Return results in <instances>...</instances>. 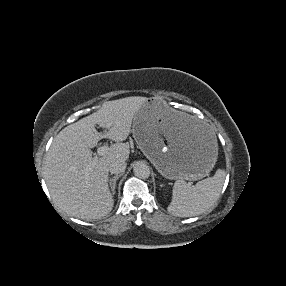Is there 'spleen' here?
<instances>
[{"label":"spleen","mask_w":286,"mask_h":286,"mask_svg":"<svg viewBox=\"0 0 286 286\" xmlns=\"http://www.w3.org/2000/svg\"><path fill=\"white\" fill-rule=\"evenodd\" d=\"M225 171L219 169L191 187L183 180H177L172 190V200L167 210L174 216L191 217L212 207L219 198L225 180Z\"/></svg>","instance_id":"3e777b00"}]
</instances>
